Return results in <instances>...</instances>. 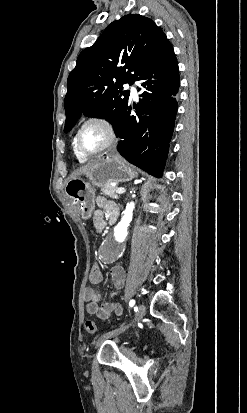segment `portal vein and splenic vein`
Masks as SVG:
<instances>
[{
	"mask_svg": "<svg viewBox=\"0 0 247 413\" xmlns=\"http://www.w3.org/2000/svg\"><path fill=\"white\" fill-rule=\"evenodd\" d=\"M115 192H117V194H121V192H125V188H116Z\"/></svg>",
	"mask_w": 247,
	"mask_h": 413,
	"instance_id": "18ae733b",
	"label": "portal vein and splenic vein"
}]
</instances>
